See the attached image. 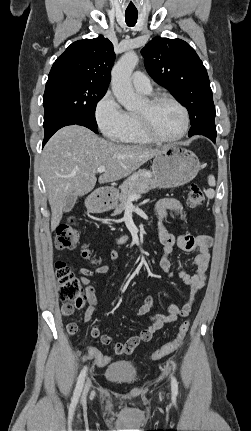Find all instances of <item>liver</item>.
I'll return each instance as SVG.
<instances>
[{
  "instance_id": "1",
  "label": "liver",
  "mask_w": 251,
  "mask_h": 431,
  "mask_svg": "<svg viewBox=\"0 0 251 431\" xmlns=\"http://www.w3.org/2000/svg\"><path fill=\"white\" fill-rule=\"evenodd\" d=\"M165 149L116 144L78 125L57 131L41 157V173L52 213L51 230L59 225L69 195L84 196L94 189L98 167L106 168L98 178L100 184L117 181Z\"/></svg>"
}]
</instances>
